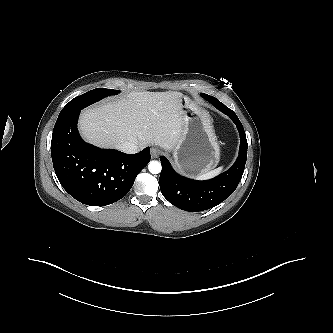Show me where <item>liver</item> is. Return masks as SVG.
Wrapping results in <instances>:
<instances>
[{"mask_svg": "<svg viewBox=\"0 0 333 333\" xmlns=\"http://www.w3.org/2000/svg\"><path fill=\"white\" fill-rule=\"evenodd\" d=\"M180 92H132L127 96L87 108L80 116L84 139L100 147L120 149L124 142L140 148L148 144L172 150L183 127Z\"/></svg>", "mask_w": 333, "mask_h": 333, "instance_id": "6515ba94", "label": "liver"}]
</instances>
